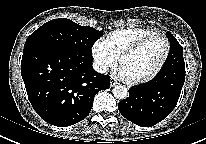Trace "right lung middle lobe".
Returning <instances> with one entry per match:
<instances>
[{
	"mask_svg": "<svg viewBox=\"0 0 206 144\" xmlns=\"http://www.w3.org/2000/svg\"><path fill=\"white\" fill-rule=\"evenodd\" d=\"M101 36L102 32L93 27L81 26L66 18L53 19L27 38L23 51L35 47H52L93 59L91 48Z\"/></svg>",
	"mask_w": 206,
	"mask_h": 144,
	"instance_id": "right-lung-middle-lobe-1",
	"label": "right lung middle lobe"
}]
</instances>
